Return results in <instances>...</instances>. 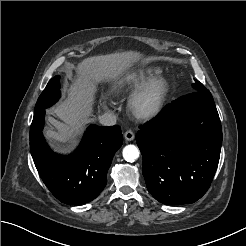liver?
Segmentation results:
<instances>
[{"mask_svg": "<svg viewBox=\"0 0 246 246\" xmlns=\"http://www.w3.org/2000/svg\"><path fill=\"white\" fill-rule=\"evenodd\" d=\"M140 58L137 51H124L88 57L73 67L76 76L68 96L53 109L60 121L49 116L53 128L45 130V135L68 147L74 146L84 126L91 121L95 82L122 76Z\"/></svg>", "mask_w": 246, "mask_h": 246, "instance_id": "6515ba94", "label": "liver"}]
</instances>
